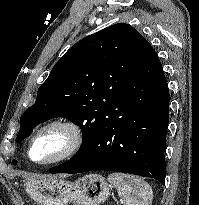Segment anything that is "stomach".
<instances>
[{"mask_svg": "<svg viewBox=\"0 0 199 205\" xmlns=\"http://www.w3.org/2000/svg\"><path fill=\"white\" fill-rule=\"evenodd\" d=\"M110 189L98 174H87L75 182L43 178L26 183V192L39 205H99L110 196Z\"/></svg>", "mask_w": 199, "mask_h": 205, "instance_id": "1", "label": "stomach"}]
</instances>
